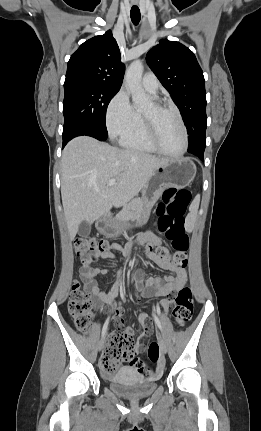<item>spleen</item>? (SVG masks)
Returning a JSON list of instances; mask_svg holds the SVG:
<instances>
[{
  "label": "spleen",
  "mask_w": 261,
  "mask_h": 431,
  "mask_svg": "<svg viewBox=\"0 0 261 431\" xmlns=\"http://www.w3.org/2000/svg\"><path fill=\"white\" fill-rule=\"evenodd\" d=\"M199 201H200V198H199V196H197V197L194 199L193 203L191 204V210H192V211L197 212L198 207H199Z\"/></svg>",
  "instance_id": "obj_1"
}]
</instances>
